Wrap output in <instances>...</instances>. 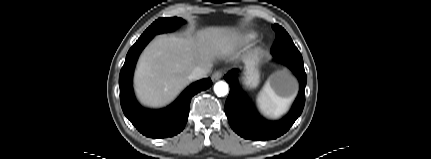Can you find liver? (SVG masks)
<instances>
[{
    "label": "liver",
    "mask_w": 431,
    "mask_h": 159,
    "mask_svg": "<svg viewBox=\"0 0 431 159\" xmlns=\"http://www.w3.org/2000/svg\"><path fill=\"white\" fill-rule=\"evenodd\" d=\"M238 39L235 29L225 27H209L194 36H158L143 51L135 72L139 101L149 107L170 103L189 84L196 67L234 55Z\"/></svg>",
    "instance_id": "6515ba94"
}]
</instances>
